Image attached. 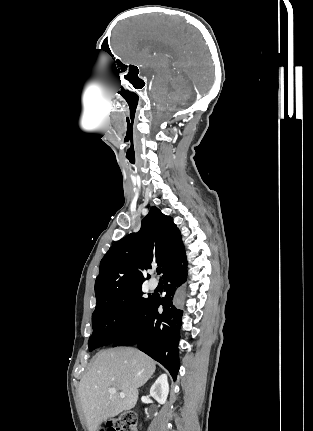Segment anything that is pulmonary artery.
Instances as JSON below:
<instances>
[{"instance_id":"obj_1","label":"pulmonary artery","mask_w":313,"mask_h":431,"mask_svg":"<svg viewBox=\"0 0 313 431\" xmlns=\"http://www.w3.org/2000/svg\"><path fill=\"white\" fill-rule=\"evenodd\" d=\"M157 286H158V282L156 280L153 279L149 282L150 289L154 290Z\"/></svg>"}]
</instances>
